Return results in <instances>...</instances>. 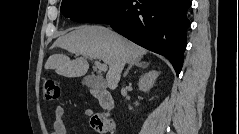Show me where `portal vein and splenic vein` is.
<instances>
[{
    "mask_svg": "<svg viewBox=\"0 0 239 134\" xmlns=\"http://www.w3.org/2000/svg\"><path fill=\"white\" fill-rule=\"evenodd\" d=\"M94 64L101 71H107V69H108L107 64H103L100 61L95 60Z\"/></svg>",
    "mask_w": 239,
    "mask_h": 134,
    "instance_id": "1",
    "label": "portal vein and splenic vein"
}]
</instances>
